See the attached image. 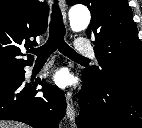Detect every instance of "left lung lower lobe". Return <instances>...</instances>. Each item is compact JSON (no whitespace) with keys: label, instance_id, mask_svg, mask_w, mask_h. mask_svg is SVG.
<instances>
[{"label":"left lung lower lobe","instance_id":"left-lung-lower-lobe-1","mask_svg":"<svg viewBox=\"0 0 142 128\" xmlns=\"http://www.w3.org/2000/svg\"><path fill=\"white\" fill-rule=\"evenodd\" d=\"M79 94V128H142V83L126 79L99 81L86 69Z\"/></svg>","mask_w":142,"mask_h":128}]
</instances>
